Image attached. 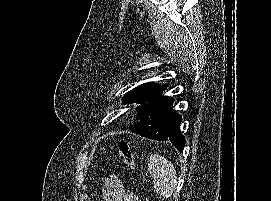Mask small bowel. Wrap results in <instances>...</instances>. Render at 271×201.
<instances>
[{"mask_svg":"<svg viewBox=\"0 0 271 201\" xmlns=\"http://www.w3.org/2000/svg\"><path fill=\"white\" fill-rule=\"evenodd\" d=\"M104 201H131L119 178L111 176L107 178L102 186Z\"/></svg>","mask_w":271,"mask_h":201,"instance_id":"small-bowel-1","label":"small bowel"}]
</instances>
